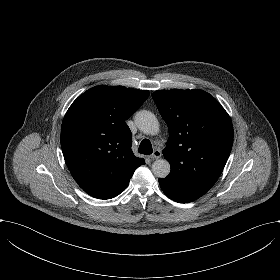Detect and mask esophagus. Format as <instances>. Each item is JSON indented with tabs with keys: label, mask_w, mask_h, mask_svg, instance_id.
Wrapping results in <instances>:
<instances>
[{
	"label": "esophagus",
	"mask_w": 280,
	"mask_h": 280,
	"mask_svg": "<svg viewBox=\"0 0 280 280\" xmlns=\"http://www.w3.org/2000/svg\"><path fill=\"white\" fill-rule=\"evenodd\" d=\"M162 153L161 150L156 149L154 152L151 154L150 158L152 159H159L161 157Z\"/></svg>",
	"instance_id": "esophagus-1"
}]
</instances>
